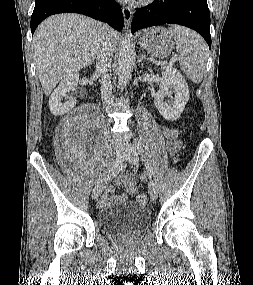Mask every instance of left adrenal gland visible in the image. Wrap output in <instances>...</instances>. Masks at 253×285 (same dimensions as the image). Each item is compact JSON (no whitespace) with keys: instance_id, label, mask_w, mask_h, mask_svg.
<instances>
[{"instance_id":"left-adrenal-gland-1","label":"left adrenal gland","mask_w":253,"mask_h":285,"mask_svg":"<svg viewBox=\"0 0 253 285\" xmlns=\"http://www.w3.org/2000/svg\"><path fill=\"white\" fill-rule=\"evenodd\" d=\"M146 57H145V55H144V53L143 54H140L139 56H138V62L139 63H142V61H143V59H145Z\"/></svg>"}]
</instances>
